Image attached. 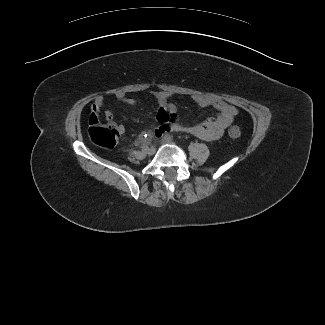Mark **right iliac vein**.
<instances>
[{"instance_id":"1","label":"right iliac vein","mask_w":325,"mask_h":325,"mask_svg":"<svg viewBox=\"0 0 325 325\" xmlns=\"http://www.w3.org/2000/svg\"><path fill=\"white\" fill-rule=\"evenodd\" d=\"M156 149L154 147H150L147 151L146 154H148L149 156L154 155Z\"/></svg>"}]
</instances>
